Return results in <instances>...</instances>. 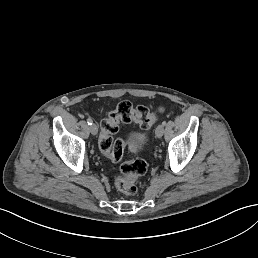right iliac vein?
I'll list each match as a JSON object with an SVG mask.
<instances>
[{"label":"right iliac vein","mask_w":258,"mask_h":258,"mask_svg":"<svg viewBox=\"0 0 258 258\" xmlns=\"http://www.w3.org/2000/svg\"><path fill=\"white\" fill-rule=\"evenodd\" d=\"M91 134L99 133L98 128L96 127V123H91V127L89 128Z\"/></svg>","instance_id":"63e3f726"}]
</instances>
